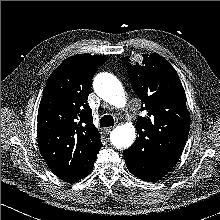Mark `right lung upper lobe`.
I'll return each instance as SVG.
<instances>
[{
	"label": "right lung upper lobe",
	"mask_w": 220,
	"mask_h": 220,
	"mask_svg": "<svg viewBox=\"0 0 220 220\" xmlns=\"http://www.w3.org/2000/svg\"><path fill=\"white\" fill-rule=\"evenodd\" d=\"M107 57L78 54L50 75L38 110V145L46 164L61 179L75 182L93 168L102 143L87 103L96 70Z\"/></svg>",
	"instance_id": "right-lung-upper-lobe-1"
}]
</instances>
